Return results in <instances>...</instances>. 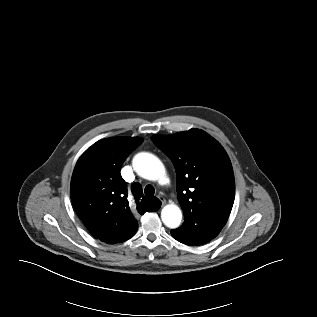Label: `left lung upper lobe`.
I'll use <instances>...</instances> for the list:
<instances>
[{"instance_id": "left-lung-upper-lobe-1", "label": "left lung upper lobe", "mask_w": 317, "mask_h": 317, "mask_svg": "<svg viewBox=\"0 0 317 317\" xmlns=\"http://www.w3.org/2000/svg\"><path fill=\"white\" fill-rule=\"evenodd\" d=\"M151 140L174 164L184 219L196 215L228 218L235 181L230 159L220 143L199 129L154 135Z\"/></svg>"}]
</instances>
